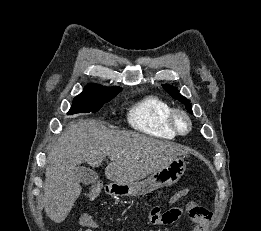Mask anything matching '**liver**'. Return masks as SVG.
<instances>
[{"label": "liver", "mask_w": 261, "mask_h": 231, "mask_svg": "<svg viewBox=\"0 0 261 231\" xmlns=\"http://www.w3.org/2000/svg\"><path fill=\"white\" fill-rule=\"evenodd\" d=\"M188 153L172 142L142 134L108 129L95 120H78L68 126L47 156L44 208L55 223L65 220L81 193L76 167H99L109 157L107 179L117 184L139 181Z\"/></svg>", "instance_id": "liver-1"}]
</instances>
